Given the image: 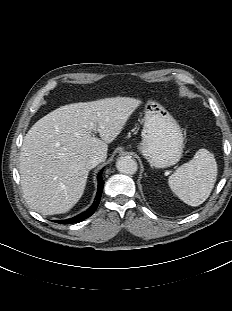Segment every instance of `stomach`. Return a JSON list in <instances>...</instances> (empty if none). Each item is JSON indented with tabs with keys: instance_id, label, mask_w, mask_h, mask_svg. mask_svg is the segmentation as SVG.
Segmentation results:
<instances>
[{
	"instance_id": "obj_1",
	"label": "stomach",
	"mask_w": 232,
	"mask_h": 311,
	"mask_svg": "<svg viewBox=\"0 0 232 311\" xmlns=\"http://www.w3.org/2000/svg\"><path fill=\"white\" fill-rule=\"evenodd\" d=\"M139 151L155 168L175 165L183 153L184 136L173 116L159 103L148 101Z\"/></svg>"
}]
</instances>
